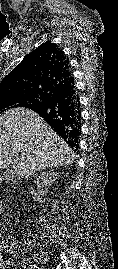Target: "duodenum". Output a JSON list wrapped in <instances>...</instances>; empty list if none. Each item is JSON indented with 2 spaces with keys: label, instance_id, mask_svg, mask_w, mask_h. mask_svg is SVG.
Segmentation results:
<instances>
[{
  "label": "duodenum",
  "instance_id": "1",
  "mask_svg": "<svg viewBox=\"0 0 118 269\" xmlns=\"http://www.w3.org/2000/svg\"><path fill=\"white\" fill-rule=\"evenodd\" d=\"M1 181H2V178L0 177V183H1Z\"/></svg>",
  "mask_w": 118,
  "mask_h": 269
}]
</instances>
